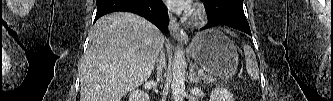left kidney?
<instances>
[{"label":"left kidney","instance_id":"1","mask_svg":"<svg viewBox=\"0 0 333 101\" xmlns=\"http://www.w3.org/2000/svg\"><path fill=\"white\" fill-rule=\"evenodd\" d=\"M210 101H234V98L227 89L217 87L212 91Z\"/></svg>","mask_w":333,"mask_h":101}]
</instances>
